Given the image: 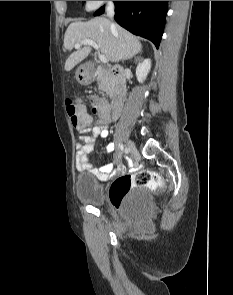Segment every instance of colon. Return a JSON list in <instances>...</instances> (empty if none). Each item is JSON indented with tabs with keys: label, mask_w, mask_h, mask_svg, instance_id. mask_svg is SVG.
<instances>
[{
	"label": "colon",
	"mask_w": 233,
	"mask_h": 295,
	"mask_svg": "<svg viewBox=\"0 0 233 295\" xmlns=\"http://www.w3.org/2000/svg\"><path fill=\"white\" fill-rule=\"evenodd\" d=\"M66 109L76 129L86 128L91 125V117L80 101L67 99ZM92 113L102 115L104 110L99 105H94ZM162 183L161 176L150 170H140L132 174H123L116 178L110 186V201L113 206L118 208L134 188L147 187L156 189L161 187Z\"/></svg>",
	"instance_id": "5ec220e1"
}]
</instances>
